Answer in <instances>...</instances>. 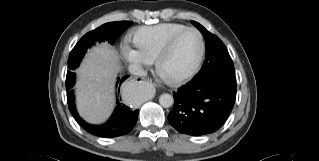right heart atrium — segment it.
<instances>
[{
  "instance_id": "right-heart-atrium-1",
  "label": "right heart atrium",
  "mask_w": 319,
  "mask_h": 161,
  "mask_svg": "<svg viewBox=\"0 0 319 161\" xmlns=\"http://www.w3.org/2000/svg\"><path fill=\"white\" fill-rule=\"evenodd\" d=\"M122 51H123L125 59L128 62L143 64V65L149 63V61L145 59L136 49H133L129 46H124Z\"/></svg>"
}]
</instances>
